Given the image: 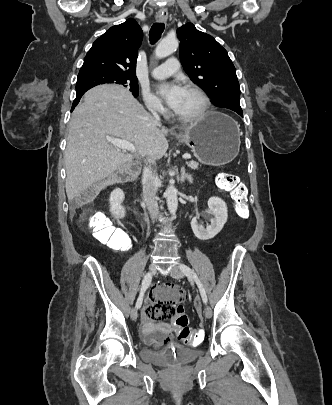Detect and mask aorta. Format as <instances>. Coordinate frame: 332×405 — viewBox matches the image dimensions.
I'll return each instance as SVG.
<instances>
[{
    "instance_id": "1",
    "label": "aorta",
    "mask_w": 332,
    "mask_h": 405,
    "mask_svg": "<svg viewBox=\"0 0 332 405\" xmlns=\"http://www.w3.org/2000/svg\"><path fill=\"white\" fill-rule=\"evenodd\" d=\"M178 46L179 43L176 37L166 36L158 43L154 52L155 57L158 59L167 57L175 52ZM177 194L178 191L173 184H170L165 191L167 207L171 214H175L178 208Z\"/></svg>"
}]
</instances>
